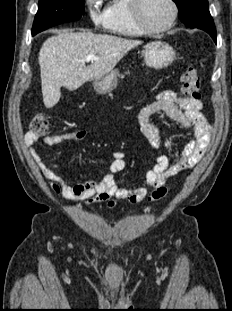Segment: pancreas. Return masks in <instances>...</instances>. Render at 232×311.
<instances>
[{
  "label": "pancreas",
  "instance_id": "1",
  "mask_svg": "<svg viewBox=\"0 0 232 311\" xmlns=\"http://www.w3.org/2000/svg\"><path fill=\"white\" fill-rule=\"evenodd\" d=\"M126 74H129V72H126ZM119 77H122V75H119Z\"/></svg>",
  "mask_w": 232,
  "mask_h": 311
}]
</instances>
